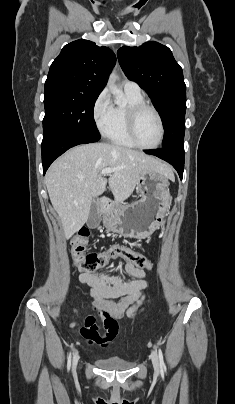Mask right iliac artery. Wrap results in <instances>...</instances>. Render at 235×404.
<instances>
[{
	"mask_svg": "<svg viewBox=\"0 0 235 404\" xmlns=\"http://www.w3.org/2000/svg\"><path fill=\"white\" fill-rule=\"evenodd\" d=\"M71 348H73V345H71ZM71 358H72V352H70L69 355H68V363H67L68 370H70Z\"/></svg>",
	"mask_w": 235,
	"mask_h": 404,
	"instance_id": "1",
	"label": "right iliac artery"
}]
</instances>
